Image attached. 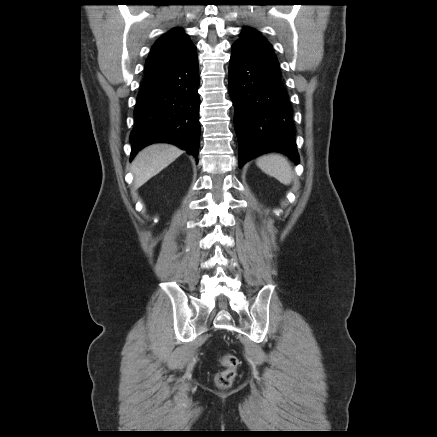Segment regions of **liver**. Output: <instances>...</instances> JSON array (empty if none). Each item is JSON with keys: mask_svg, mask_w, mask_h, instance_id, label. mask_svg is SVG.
Segmentation results:
<instances>
[{"mask_svg": "<svg viewBox=\"0 0 437 437\" xmlns=\"http://www.w3.org/2000/svg\"><path fill=\"white\" fill-rule=\"evenodd\" d=\"M182 150L170 144H152L141 150L131 164L135 188H139L150 178L174 162Z\"/></svg>", "mask_w": 437, "mask_h": 437, "instance_id": "liver-1", "label": "liver"}]
</instances>
